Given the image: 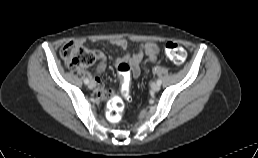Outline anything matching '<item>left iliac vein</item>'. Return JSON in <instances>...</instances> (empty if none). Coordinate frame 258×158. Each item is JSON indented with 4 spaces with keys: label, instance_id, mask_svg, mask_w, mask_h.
Instances as JSON below:
<instances>
[{
    "label": "left iliac vein",
    "instance_id": "1",
    "mask_svg": "<svg viewBox=\"0 0 258 158\" xmlns=\"http://www.w3.org/2000/svg\"><path fill=\"white\" fill-rule=\"evenodd\" d=\"M151 89H152V91L157 92L160 89V85L158 83H152Z\"/></svg>",
    "mask_w": 258,
    "mask_h": 158
}]
</instances>
